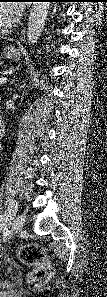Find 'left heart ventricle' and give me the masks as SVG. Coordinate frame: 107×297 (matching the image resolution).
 Returning a JSON list of instances; mask_svg holds the SVG:
<instances>
[{
    "instance_id": "1",
    "label": "left heart ventricle",
    "mask_w": 107,
    "mask_h": 297,
    "mask_svg": "<svg viewBox=\"0 0 107 297\" xmlns=\"http://www.w3.org/2000/svg\"><path fill=\"white\" fill-rule=\"evenodd\" d=\"M0 26L7 25L13 20L11 6L7 4H2L0 7Z\"/></svg>"
}]
</instances>
